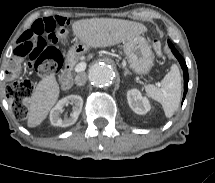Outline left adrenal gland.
Here are the masks:
<instances>
[{"instance_id":"obj_1","label":"left adrenal gland","mask_w":215,"mask_h":183,"mask_svg":"<svg viewBox=\"0 0 215 183\" xmlns=\"http://www.w3.org/2000/svg\"><path fill=\"white\" fill-rule=\"evenodd\" d=\"M123 68L125 69L124 76L131 75V72L126 67Z\"/></svg>"}]
</instances>
